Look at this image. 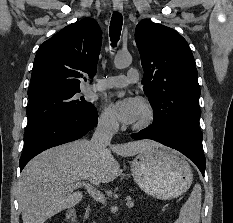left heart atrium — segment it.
Masks as SVG:
<instances>
[{
	"instance_id": "1",
	"label": "left heart atrium",
	"mask_w": 233,
	"mask_h": 223,
	"mask_svg": "<svg viewBox=\"0 0 233 223\" xmlns=\"http://www.w3.org/2000/svg\"><path fill=\"white\" fill-rule=\"evenodd\" d=\"M142 109L141 100L133 96L116 101L111 106L114 116L126 125L135 124L141 115Z\"/></svg>"
}]
</instances>
